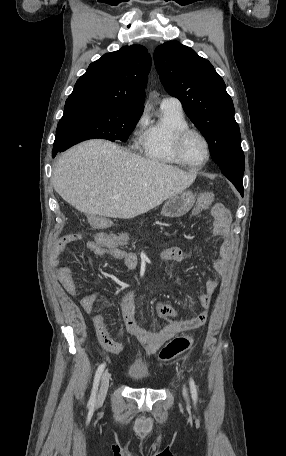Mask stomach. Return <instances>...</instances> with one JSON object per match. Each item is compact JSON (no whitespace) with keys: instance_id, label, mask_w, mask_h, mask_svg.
<instances>
[{"instance_id":"0dacf381","label":"stomach","mask_w":286,"mask_h":456,"mask_svg":"<svg viewBox=\"0 0 286 456\" xmlns=\"http://www.w3.org/2000/svg\"><path fill=\"white\" fill-rule=\"evenodd\" d=\"M195 195L190 191H183L174 195L164 203L161 214L166 217H180L185 215L195 203Z\"/></svg>"}]
</instances>
